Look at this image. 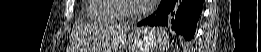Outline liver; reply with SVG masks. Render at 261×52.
Returning a JSON list of instances; mask_svg holds the SVG:
<instances>
[{
	"label": "liver",
	"mask_w": 261,
	"mask_h": 52,
	"mask_svg": "<svg viewBox=\"0 0 261 52\" xmlns=\"http://www.w3.org/2000/svg\"><path fill=\"white\" fill-rule=\"evenodd\" d=\"M127 31V28L105 24L104 27L101 28L100 36L103 50H106V47L107 50L122 47ZM99 50H102L101 47H99Z\"/></svg>",
	"instance_id": "1"
}]
</instances>
